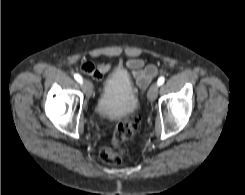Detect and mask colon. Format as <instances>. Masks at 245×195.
I'll return each instance as SVG.
<instances>
[{
    "label": "colon",
    "mask_w": 245,
    "mask_h": 195,
    "mask_svg": "<svg viewBox=\"0 0 245 195\" xmlns=\"http://www.w3.org/2000/svg\"><path fill=\"white\" fill-rule=\"evenodd\" d=\"M139 123L137 117H132L117 123L111 140L99 151L101 160L110 165L119 164L126 154L125 141L131 138Z\"/></svg>",
    "instance_id": "colon-1"
}]
</instances>
